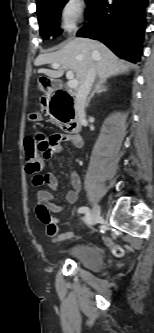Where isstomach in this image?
<instances>
[{
  "label": "stomach",
  "instance_id": "stomach-1",
  "mask_svg": "<svg viewBox=\"0 0 154 333\" xmlns=\"http://www.w3.org/2000/svg\"><path fill=\"white\" fill-rule=\"evenodd\" d=\"M39 89H40V90H44L45 88H44L43 85L39 84Z\"/></svg>",
  "mask_w": 154,
  "mask_h": 333
}]
</instances>
